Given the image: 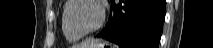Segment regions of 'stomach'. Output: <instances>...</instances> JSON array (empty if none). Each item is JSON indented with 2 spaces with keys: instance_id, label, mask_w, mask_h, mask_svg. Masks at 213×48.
<instances>
[{
  "instance_id": "0dacf381",
  "label": "stomach",
  "mask_w": 213,
  "mask_h": 48,
  "mask_svg": "<svg viewBox=\"0 0 213 48\" xmlns=\"http://www.w3.org/2000/svg\"><path fill=\"white\" fill-rule=\"evenodd\" d=\"M105 47H112V45H110L107 42H100V43H96L92 47H88V48H105Z\"/></svg>"
}]
</instances>
